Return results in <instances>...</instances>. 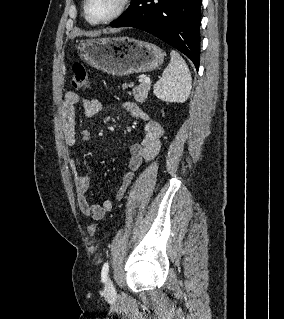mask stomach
<instances>
[{
  "instance_id": "stomach-1",
  "label": "stomach",
  "mask_w": 284,
  "mask_h": 319,
  "mask_svg": "<svg viewBox=\"0 0 284 319\" xmlns=\"http://www.w3.org/2000/svg\"><path fill=\"white\" fill-rule=\"evenodd\" d=\"M78 52L91 66L117 76L152 71L165 56L158 46L130 37L82 40Z\"/></svg>"
}]
</instances>
